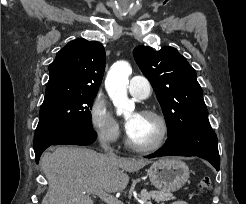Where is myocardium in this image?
Masks as SVG:
<instances>
[{"instance_id":"myocardium-1","label":"myocardium","mask_w":246,"mask_h":204,"mask_svg":"<svg viewBox=\"0 0 246 204\" xmlns=\"http://www.w3.org/2000/svg\"><path fill=\"white\" fill-rule=\"evenodd\" d=\"M141 115L151 117L159 123L160 131H159L158 137L151 144L140 145V144L133 142L131 140L129 134L127 133L125 143H126L128 148H130L136 152L149 153V152L157 151L158 149H160L164 145V143L167 140L168 133H169L168 122H167L166 118L161 113H159L155 110H151V109L143 110L141 112Z\"/></svg>"}]
</instances>
